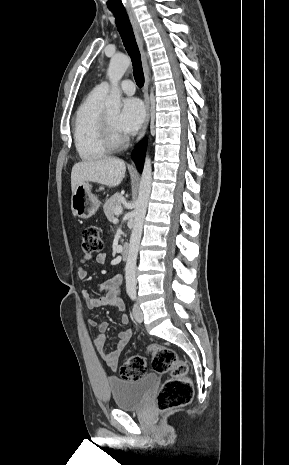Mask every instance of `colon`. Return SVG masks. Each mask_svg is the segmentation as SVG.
I'll use <instances>...</instances> for the list:
<instances>
[{
    "mask_svg": "<svg viewBox=\"0 0 289 465\" xmlns=\"http://www.w3.org/2000/svg\"><path fill=\"white\" fill-rule=\"evenodd\" d=\"M82 250L85 254L99 252L103 242L94 227H86L82 231ZM152 356L151 365L160 374L170 373L160 387L156 403L160 411H169L188 405L193 398V386L189 377V366L182 361L177 352L163 345L149 346ZM120 376L126 380H138L147 373V363L141 356L134 355L125 359L119 370Z\"/></svg>",
    "mask_w": 289,
    "mask_h": 465,
    "instance_id": "colon-1",
    "label": "colon"
}]
</instances>
